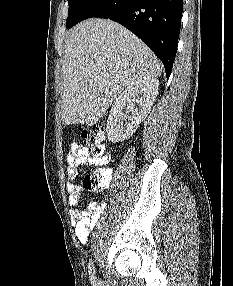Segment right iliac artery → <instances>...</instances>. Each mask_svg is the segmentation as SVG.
Segmentation results:
<instances>
[{
	"instance_id": "1",
	"label": "right iliac artery",
	"mask_w": 233,
	"mask_h": 286,
	"mask_svg": "<svg viewBox=\"0 0 233 286\" xmlns=\"http://www.w3.org/2000/svg\"><path fill=\"white\" fill-rule=\"evenodd\" d=\"M88 269H89L90 281L92 284H95V271L93 263L91 261L89 262Z\"/></svg>"
}]
</instances>
